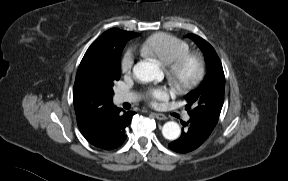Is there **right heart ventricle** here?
Wrapping results in <instances>:
<instances>
[{
  "label": "right heart ventricle",
  "instance_id": "obj_1",
  "mask_svg": "<svg viewBox=\"0 0 288 181\" xmlns=\"http://www.w3.org/2000/svg\"><path fill=\"white\" fill-rule=\"evenodd\" d=\"M141 52L167 65L176 57L189 52V45L185 41L170 34L157 33L149 37L142 44Z\"/></svg>",
  "mask_w": 288,
  "mask_h": 181
}]
</instances>
